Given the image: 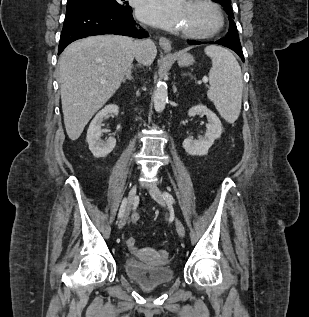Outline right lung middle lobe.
<instances>
[{
  "label": "right lung middle lobe",
  "instance_id": "1",
  "mask_svg": "<svg viewBox=\"0 0 309 317\" xmlns=\"http://www.w3.org/2000/svg\"><path fill=\"white\" fill-rule=\"evenodd\" d=\"M67 4H82L114 10H128L131 7L124 0H67Z\"/></svg>",
  "mask_w": 309,
  "mask_h": 317
}]
</instances>
